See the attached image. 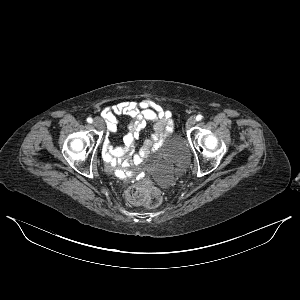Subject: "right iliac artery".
Masks as SVG:
<instances>
[{
    "label": "right iliac artery",
    "instance_id": "82829eb1",
    "mask_svg": "<svg viewBox=\"0 0 300 300\" xmlns=\"http://www.w3.org/2000/svg\"><path fill=\"white\" fill-rule=\"evenodd\" d=\"M87 122H88V123H92V122H93V119H92L91 117H88V118H87Z\"/></svg>",
    "mask_w": 300,
    "mask_h": 300
}]
</instances>
